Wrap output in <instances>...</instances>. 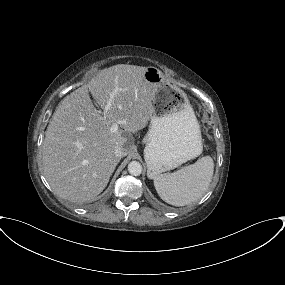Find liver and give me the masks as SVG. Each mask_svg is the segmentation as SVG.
<instances>
[{
    "instance_id": "6515ba94",
    "label": "liver",
    "mask_w": 285,
    "mask_h": 285,
    "mask_svg": "<svg viewBox=\"0 0 285 285\" xmlns=\"http://www.w3.org/2000/svg\"><path fill=\"white\" fill-rule=\"evenodd\" d=\"M145 71L127 64L105 68L59 103L42 146L44 176L59 197L83 203L105 189L120 161L115 149L121 147L127 155L132 133L151 119L154 90ZM89 91L101 109L110 103L107 118L94 107ZM117 121L125 123L111 132Z\"/></svg>"
}]
</instances>
